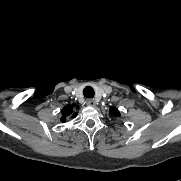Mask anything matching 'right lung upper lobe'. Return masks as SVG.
Listing matches in <instances>:
<instances>
[{
    "label": "right lung upper lobe",
    "mask_w": 181,
    "mask_h": 181,
    "mask_svg": "<svg viewBox=\"0 0 181 181\" xmlns=\"http://www.w3.org/2000/svg\"><path fill=\"white\" fill-rule=\"evenodd\" d=\"M79 106H74V105H66L65 107H63V109L61 110V122L64 123L66 121V118L71 117V118H75L77 116V112L75 111V109H78Z\"/></svg>",
    "instance_id": "cb5924a9"
}]
</instances>
